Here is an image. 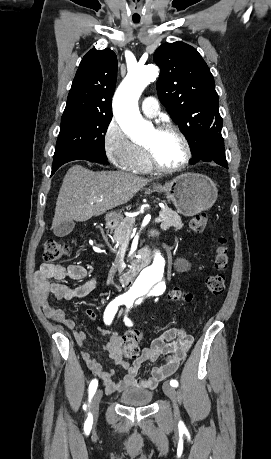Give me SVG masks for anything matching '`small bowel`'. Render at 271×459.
I'll return each instance as SVG.
<instances>
[{
    "label": "small bowel",
    "mask_w": 271,
    "mask_h": 459,
    "mask_svg": "<svg viewBox=\"0 0 271 459\" xmlns=\"http://www.w3.org/2000/svg\"><path fill=\"white\" fill-rule=\"evenodd\" d=\"M86 277L87 270L82 265L71 264L63 266L44 263L36 272L34 280L37 299L45 315L71 330L77 344L81 347L86 341L85 334L77 330L74 321L68 318L62 309L51 304L49 298L55 297L57 300H71L86 297L97 287L98 279L96 277L74 288L58 282L66 278L83 280ZM52 280L56 282H52ZM86 313L91 320H97V316L93 310L88 309ZM101 333L107 337V342L103 345V349L116 364L120 365L126 371L124 377L119 381H114V372L112 370H105L86 351L82 352V357L88 369L102 381L105 391L109 395L121 393L132 387L144 389L155 388L160 381L175 373L181 362L186 358L194 342L193 336L188 334L184 329L169 328L161 336L155 338L149 347L144 348L131 364L122 356L121 347L123 337L117 333H110L105 329H102ZM161 357L164 360L162 363H158ZM148 361L155 363L151 375L149 377L139 376L141 366Z\"/></svg>",
    "instance_id": "obj_1"
}]
</instances>
